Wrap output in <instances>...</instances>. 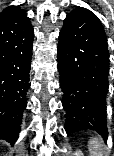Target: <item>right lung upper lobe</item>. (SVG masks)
Listing matches in <instances>:
<instances>
[{
  "label": "right lung upper lobe",
  "mask_w": 114,
  "mask_h": 156,
  "mask_svg": "<svg viewBox=\"0 0 114 156\" xmlns=\"http://www.w3.org/2000/svg\"><path fill=\"white\" fill-rule=\"evenodd\" d=\"M19 7L18 6H9L7 7L6 9H4L1 13H0V16H3L9 12H12V11H15V10H18Z\"/></svg>",
  "instance_id": "1"
}]
</instances>
